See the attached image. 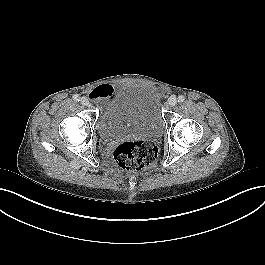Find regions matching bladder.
<instances>
[{
    "label": "bladder",
    "instance_id": "obj_1",
    "mask_svg": "<svg viewBox=\"0 0 265 265\" xmlns=\"http://www.w3.org/2000/svg\"><path fill=\"white\" fill-rule=\"evenodd\" d=\"M164 124L156 87L150 83H128L103 103L97 133L104 141L130 135L159 137Z\"/></svg>",
    "mask_w": 265,
    "mask_h": 265
}]
</instances>
